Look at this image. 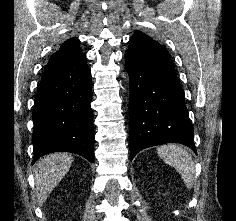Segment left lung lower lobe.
Listing matches in <instances>:
<instances>
[{
    "mask_svg": "<svg viewBox=\"0 0 236 221\" xmlns=\"http://www.w3.org/2000/svg\"><path fill=\"white\" fill-rule=\"evenodd\" d=\"M125 59L130 79V159L165 143H180L196 152L184 91L166 48L137 31Z\"/></svg>",
    "mask_w": 236,
    "mask_h": 221,
    "instance_id": "0a47b994",
    "label": "left lung lower lobe"
}]
</instances>
